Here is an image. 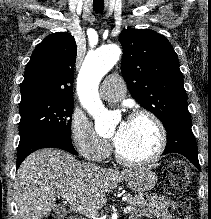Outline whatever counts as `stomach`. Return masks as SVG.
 <instances>
[{
    "instance_id": "stomach-1",
    "label": "stomach",
    "mask_w": 211,
    "mask_h": 219,
    "mask_svg": "<svg viewBox=\"0 0 211 219\" xmlns=\"http://www.w3.org/2000/svg\"><path fill=\"white\" fill-rule=\"evenodd\" d=\"M158 176L149 168L137 169L135 174L126 179L125 182L129 188L136 192L151 190L157 183Z\"/></svg>"
}]
</instances>
